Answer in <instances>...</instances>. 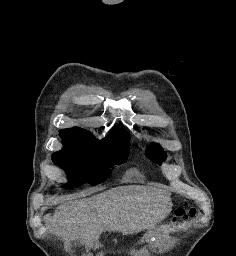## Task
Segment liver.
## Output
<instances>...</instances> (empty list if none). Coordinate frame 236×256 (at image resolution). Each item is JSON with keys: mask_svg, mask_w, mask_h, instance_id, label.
Returning <instances> with one entry per match:
<instances>
[{"mask_svg": "<svg viewBox=\"0 0 236 256\" xmlns=\"http://www.w3.org/2000/svg\"><path fill=\"white\" fill-rule=\"evenodd\" d=\"M170 212V194L151 186H119L61 204L52 224L58 234L82 240L90 250L103 232H142L155 216L166 218Z\"/></svg>", "mask_w": 236, "mask_h": 256, "instance_id": "liver-1", "label": "liver"}]
</instances>
